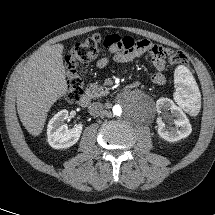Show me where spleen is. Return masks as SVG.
<instances>
[{
  "label": "spleen",
  "instance_id": "3e777b00",
  "mask_svg": "<svg viewBox=\"0 0 215 215\" xmlns=\"http://www.w3.org/2000/svg\"><path fill=\"white\" fill-rule=\"evenodd\" d=\"M175 88L174 99L178 105L187 112H196L200 93L194 78L184 66L177 67L175 71Z\"/></svg>",
  "mask_w": 215,
  "mask_h": 215
}]
</instances>
